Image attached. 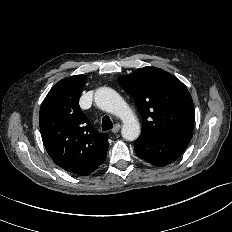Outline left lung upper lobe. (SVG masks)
<instances>
[{
	"label": "left lung upper lobe",
	"mask_w": 232,
	"mask_h": 232,
	"mask_svg": "<svg viewBox=\"0 0 232 232\" xmlns=\"http://www.w3.org/2000/svg\"><path fill=\"white\" fill-rule=\"evenodd\" d=\"M135 100L143 119L140 136L192 138L194 105L186 86L172 74L144 67L118 79Z\"/></svg>",
	"instance_id": "5c2ea615"
}]
</instances>
